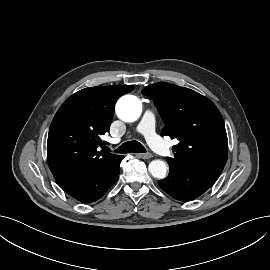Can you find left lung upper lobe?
Wrapping results in <instances>:
<instances>
[{"mask_svg":"<svg viewBox=\"0 0 270 270\" xmlns=\"http://www.w3.org/2000/svg\"><path fill=\"white\" fill-rule=\"evenodd\" d=\"M143 94L153 99L165 127L161 135L177 138L169 166L195 169L219 177L227 161L228 140L225 124L215 104L194 90L157 83Z\"/></svg>","mask_w":270,"mask_h":270,"instance_id":"obj_1","label":"left lung upper lobe"}]
</instances>
